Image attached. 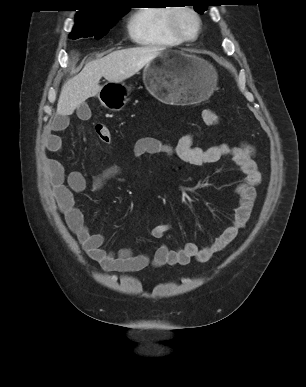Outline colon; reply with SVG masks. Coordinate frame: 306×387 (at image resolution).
I'll list each match as a JSON object with an SVG mask.
<instances>
[{"mask_svg": "<svg viewBox=\"0 0 306 387\" xmlns=\"http://www.w3.org/2000/svg\"><path fill=\"white\" fill-rule=\"evenodd\" d=\"M203 120L208 125L218 124L220 117L212 110H204L202 113ZM98 138L103 143H110L112 139L111 131L105 124H97L95 127Z\"/></svg>", "mask_w": 306, "mask_h": 387, "instance_id": "colon-1", "label": "colon"}]
</instances>
